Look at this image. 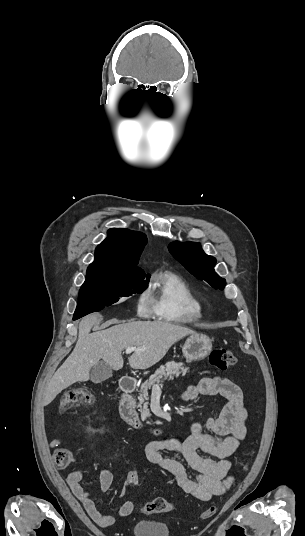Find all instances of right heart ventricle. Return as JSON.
Masks as SVG:
<instances>
[{"label":"right heart ventricle","instance_id":"right-heart-ventricle-1","mask_svg":"<svg viewBox=\"0 0 305 536\" xmlns=\"http://www.w3.org/2000/svg\"><path fill=\"white\" fill-rule=\"evenodd\" d=\"M153 310L161 319L178 323L197 322L203 317V306L190 287L176 274L159 272L149 287Z\"/></svg>","mask_w":305,"mask_h":536}]
</instances>
